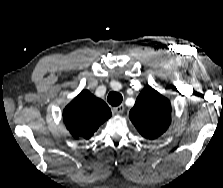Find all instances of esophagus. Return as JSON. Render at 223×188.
I'll list each match as a JSON object with an SVG mask.
<instances>
[{
    "mask_svg": "<svg viewBox=\"0 0 223 188\" xmlns=\"http://www.w3.org/2000/svg\"><path fill=\"white\" fill-rule=\"evenodd\" d=\"M124 105H119L113 108V112L116 114H122L124 112Z\"/></svg>",
    "mask_w": 223,
    "mask_h": 188,
    "instance_id": "obj_1",
    "label": "esophagus"
}]
</instances>
